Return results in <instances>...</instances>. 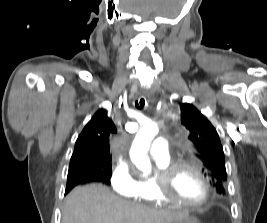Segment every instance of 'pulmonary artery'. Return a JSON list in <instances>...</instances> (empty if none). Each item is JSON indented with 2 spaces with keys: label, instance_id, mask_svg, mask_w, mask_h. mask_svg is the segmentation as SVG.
<instances>
[{
  "label": "pulmonary artery",
  "instance_id": "1",
  "mask_svg": "<svg viewBox=\"0 0 267 223\" xmlns=\"http://www.w3.org/2000/svg\"><path fill=\"white\" fill-rule=\"evenodd\" d=\"M149 154L153 158L166 160L169 159V143L164 138L156 139L149 148Z\"/></svg>",
  "mask_w": 267,
  "mask_h": 223
}]
</instances>
